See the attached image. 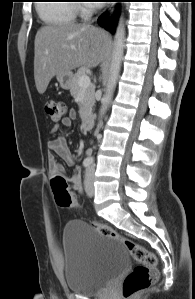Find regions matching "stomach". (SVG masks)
I'll return each instance as SVG.
<instances>
[{
  "mask_svg": "<svg viewBox=\"0 0 195 299\" xmlns=\"http://www.w3.org/2000/svg\"><path fill=\"white\" fill-rule=\"evenodd\" d=\"M57 81L59 82L62 89H70L73 81V74L72 72L58 74Z\"/></svg>",
  "mask_w": 195,
  "mask_h": 299,
  "instance_id": "obj_1",
  "label": "stomach"
}]
</instances>
